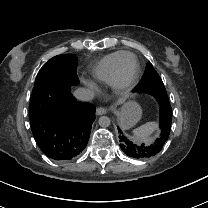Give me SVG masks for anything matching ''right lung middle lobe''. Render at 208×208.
Returning a JSON list of instances; mask_svg holds the SVG:
<instances>
[{"instance_id":"1","label":"right lung middle lobe","mask_w":208,"mask_h":208,"mask_svg":"<svg viewBox=\"0 0 208 208\" xmlns=\"http://www.w3.org/2000/svg\"><path fill=\"white\" fill-rule=\"evenodd\" d=\"M76 68L77 58L74 55H57L51 58L38 73L32 96L36 94L38 88L47 86L52 80L55 81L54 84L59 91H70L72 85L79 83ZM29 115L30 119L37 116L32 99L29 105Z\"/></svg>"}]
</instances>
